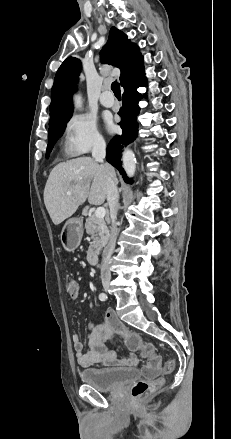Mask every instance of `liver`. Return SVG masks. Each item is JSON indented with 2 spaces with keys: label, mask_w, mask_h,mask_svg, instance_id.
Instances as JSON below:
<instances>
[{
  "label": "liver",
  "mask_w": 231,
  "mask_h": 439,
  "mask_svg": "<svg viewBox=\"0 0 231 439\" xmlns=\"http://www.w3.org/2000/svg\"><path fill=\"white\" fill-rule=\"evenodd\" d=\"M108 172L91 157H79L56 165L44 189V203L54 225L72 216L87 199L93 205L103 204L107 198Z\"/></svg>",
  "instance_id": "liver-1"
}]
</instances>
